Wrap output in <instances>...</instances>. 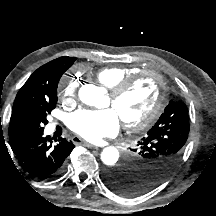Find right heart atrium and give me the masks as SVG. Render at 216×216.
I'll return each instance as SVG.
<instances>
[{
	"label": "right heart atrium",
	"instance_id": "obj_1",
	"mask_svg": "<svg viewBox=\"0 0 216 216\" xmlns=\"http://www.w3.org/2000/svg\"><path fill=\"white\" fill-rule=\"evenodd\" d=\"M78 88V80L72 77H65L61 81L59 97L64 100H74Z\"/></svg>",
	"mask_w": 216,
	"mask_h": 216
}]
</instances>
